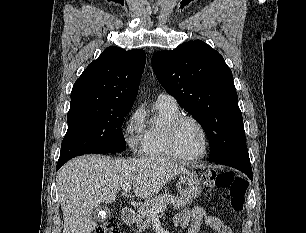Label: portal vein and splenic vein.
Listing matches in <instances>:
<instances>
[{"label": "portal vein and splenic vein", "instance_id": "obj_1", "mask_svg": "<svg viewBox=\"0 0 306 233\" xmlns=\"http://www.w3.org/2000/svg\"><path fill=\"white\" fill-rule=\"evenodd\" d=\"M123 190H124L125 193H129L130 190H131V185L127 184V185L123 186ZM166 208H167V205L159 206V207L153 208L151 210V213H152L153 216H156L159 212L165 210Z\"/></svg>", "mask_w": 306, "mask_h": 233}]
</instances>
